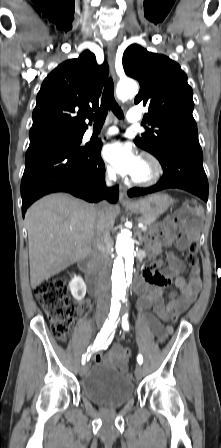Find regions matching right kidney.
Here are the masks:
<instances>
[{
    "mask_svg": "<svg viewBox=\"0 0 221 448\" xmlns=\"http://www.w3.org/2000/svg\"><path fill=\"white\" fill-rule=\"evenodd\" d=\"M72 296L76 300H82L86 294V284L80 276H75L69 283Z\"/></svg>",
    "mask_w": 221,
    "mask_h": 448,
    "instance_id": "obj_1",
    "label": "right kidney"
}]
</instances>
